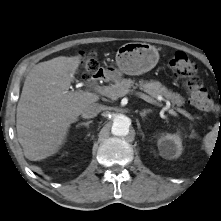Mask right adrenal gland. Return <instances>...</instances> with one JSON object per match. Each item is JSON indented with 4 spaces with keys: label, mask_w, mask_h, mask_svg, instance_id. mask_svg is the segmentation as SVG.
Wrapping results in <instances>:
<instances>
[{
    "label": "right adrenal gland",
    "mask_w": 221,
    "mask_h": 221,
    "mask_svg": "<svg viewBox=\"0 0 221 221\" xmlns=\"http://www.w3.org/2000/svg\"><path fill=\"white\" fill-rule=\"evenodd\" d=\"M92 123V121L82 122L76 125V127L86 126L89 128V124Z\"/></svg>",
    "instance_id": "right-adrenal-gland-1"
}]
</instances>
